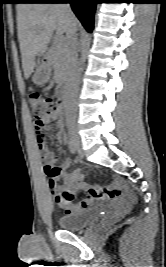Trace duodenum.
<instances>
[{
	"label": "duodenum",
	"instance_id": "410a0bca",
	"mask_svg": "<svg viewBox=\"0 0 166 267\" xmlns=\"http://www.w3.org/2000/svg\"><path fill=\"white\" fill-rule=\"evenodd\" d=\"M42 65H43L44 71L46 72L49 71V59L47 57H44ZM67 95H68V88H67V85L63 83L58 89V96L60 98L61 105L64 104L67 98Z\"/></svg>",
	"mask_w": 166,
	"mask_h": 267
}]
</instances>
